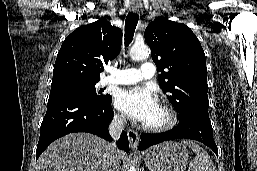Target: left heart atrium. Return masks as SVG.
<instances>
[{"label":"left heart atrium","mask_w":257,"mask_h":171,"mask_svg":"<svg viewBox=\"0 0 257 171\" xmlns=\"http://www.w3.org/2000/svg\"><path fill=\"white\" fill-rule=\"evenodd\" d=\"M114 104L117 109L129 117L143 123L159 106L156 95L146 87H134L119 91L115 96Z\"/></svg>","instance_id":"39dd6f15"}]
</instances>
